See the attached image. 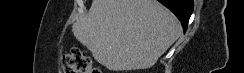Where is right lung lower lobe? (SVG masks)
<instances>
[{
  "mask_svg": "<svg viewBox=\"0 0 244 73\" xmlns=\"http://www.w3.org/2000/svg\"><path fill=\"white\" fill-rule=\"evenodd\" d=\"M169 8L180 20L184 32L187 30L189 18L193 12V0H158Z\"/></svg>",
  "mask_w": 244,
  "mask_h": 73,
  "instance_id": "1",
  "label": "right lung lower lobe"
}]
</instances>
